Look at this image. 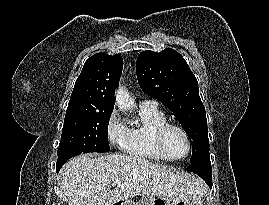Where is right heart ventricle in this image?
<instances>
[{
	"label": "right heart ventricle",
	"mask_w": 269,
	"mask_h": 205,
	"mask_svg": "<svg viewBox=\"0 0 269 205\" xmlns=\"http://www.w3.org/2000/svg\"><path fill=\"white\" fill-rule=\"evenodd\" d=\"M140 124L128 129L127 141L122 148L128 156L149 161H166L153 143L155 129L167 122L166 115L157 107L140 106Z\"/></svg>",
	"instance_id": "obj_1"
}]
</instances>
